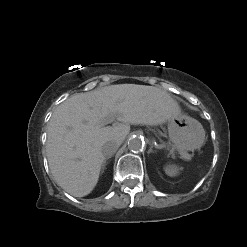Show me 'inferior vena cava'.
<instances>
[{"mask_svg": "<svg viewBox=\"0 0 247 247\" xmlns=\"http://www.w3.org/2000/svg\"><path fill=\"white\" fill-rule=\"evenodd\" d=\"M119 147L120 143L118 141H108L102 146V153L106 157H111L116 153Z\"/></svg>", "mask_w": 247, "mask_h": 247, "instance_id": "602c4592", "label": "inferior vena cava"}]
</instances>
